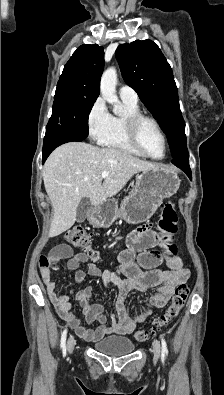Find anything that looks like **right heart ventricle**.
<instances>
[{"label": "right heart ventricle", "mask_w": 224, "mask_h": 395, "mask_svg": "<svg viewBox=\"0 0 224 395\" xmlns=\"http://www.w3.org/2000/svg\"><path fill=\"white\" fill-rule=\"evenodd\" d=\"M124 112L119 115H110L108 127L98 140L102 146L125 152L134 156L144 157L130 143L125 128V119L128 115L140 113L137 103L123 100Z\"/></svg>", "instance_id": "1"}]
</instances>
